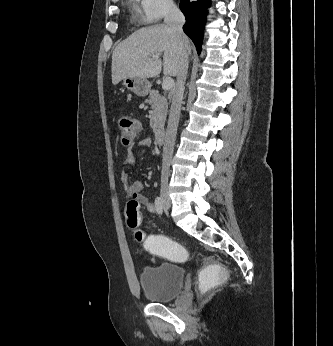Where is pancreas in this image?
Instances as JSON below:
<instances>
[{"mask_svg":"<svg viewBox=\"0 0 333 346\" xmlns=\"http://www.w3.org/2000/svg\"><path fill=\"white\" fill-rule=\"evenodd\" d=\"M148 103L151 105L152 111L150 115V125L154 133H158L163 129L167 111L168 103L165 96H162L156 90H152L149 95Z\"/></svg>","mask_w":333,"mask_h":346,"instance_id":"cf45deb5","label":"pancreas"}]
</instances>
